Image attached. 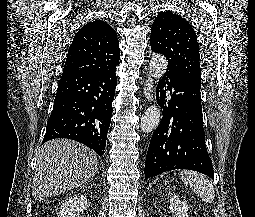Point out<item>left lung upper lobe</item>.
<instances>
[{
    "mask_svg": "<svg viewBox=\"0 0 255 217\" xmlns=\"http://www.w3.org/2000/svg\"><path fill=\"white\" fill-rule=\"evenodd\" d=\"M150 42L154 52L168 59L169 71L201 86L199 45L188 21L173 13H159L152 24Z\"/></svg>",
    "mask_w": 255,
    "mask_h": 217,
    "instance_id": "obj_1",
    "label": "left lung upper lobe"
}]
</instances>
